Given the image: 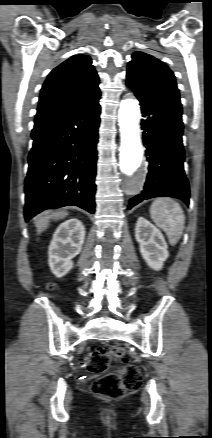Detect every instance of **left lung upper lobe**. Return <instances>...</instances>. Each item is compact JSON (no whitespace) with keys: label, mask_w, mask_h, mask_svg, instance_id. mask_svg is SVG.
<instances>
[{"label":"left lung upper lobe","mask_w":212,"mask_h":438,"mask_svg":"<svg viewBox=\"0 0 212 438\" xmlns=\"http://www.w3.org/2000/svg\"><path fill=\"white\" fill-rule=\"evenodd\" d=\"M127 85L142 93L181 105L173 72L149 54H132V61L127 68Z\"/></svg>","instance_id":"obj_1"}]
</instances>
